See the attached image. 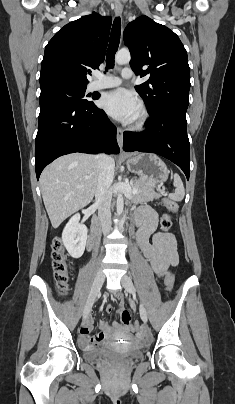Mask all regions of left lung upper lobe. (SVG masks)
Wrapping results in <instances>:
<instances>
[{
  "mask_svg": "<svg viewBox=\"0 0 235 404\" xmlns=\"http://www.w3.org/2000/svg\"><path fill=\"white\" fill-rule=\"evenodd\" d=\"M131 53L130 66L136 75L149 79L135 89L150 114L175 108L186 111L189 104L190 68L179 37L164 25L141 16L124 30Z\"/></svg>",
  "mask_w": 235,
  "mask_h": 404,
  "instance_id": "1",
  "label": "left lung upper lobe"
}]
</instances>
